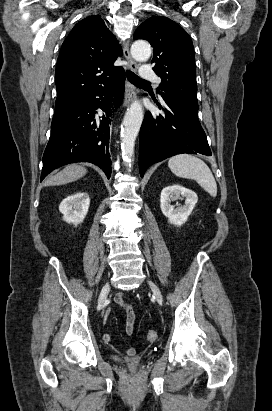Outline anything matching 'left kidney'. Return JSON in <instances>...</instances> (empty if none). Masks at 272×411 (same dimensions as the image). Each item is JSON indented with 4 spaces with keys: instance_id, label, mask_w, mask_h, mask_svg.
Listing matches in <instances>:
<instances>
[{
    "instance_id": "obj_1",
    "label": "left kidney",
    "mask_w": 272,
    "mask_h": 411,
    "mask_svg": "<svg viewBox=\"0 0 272 411\" xmlns=\"http://www.w3.org/2000/svg\"><path fill=\"white\" fill-rule=\"evenodd\" d=\"M180 198L185 199L184 205L177 204L176 208L171 205V202ZM197 201L198 197L195 192L175 184L165 187L162 190L160 208L162 213L168 218L170 224L181 226L187 221Z\"/></svg>"
}]
</instances>
